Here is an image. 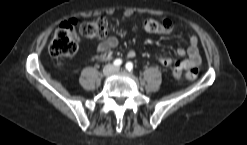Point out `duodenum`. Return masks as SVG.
<instances>
[{
  "instance_id": "obj_1",
  "label": "duodenum",
  "mask_w": 247,
  "mask_h": 145,
  "mask_svg": "<svg viewBox=\"0 0 247 145\" xmlns=\"http://www.w3.org/2000/svg\"><path fill=\"white\" fill-rule=\"evenodd\" d=\"M103 58L106 59V58H109V56L108 55H103Z\"/></svg>"
}]
</instances>
